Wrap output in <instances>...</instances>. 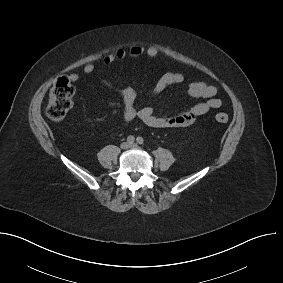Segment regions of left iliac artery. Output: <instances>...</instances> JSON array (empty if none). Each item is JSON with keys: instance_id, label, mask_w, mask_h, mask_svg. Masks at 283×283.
I'll list each match as a JSON object with an SVG mask.
<instances>
[{"instance_id": "obj_1", "label": "left iliac artery", "mask_w": 283, "mask_h": 283, "mask_svg": "<svg viewBox=\"0 0 283 283\" xmlns=\"http://www.w3.org/2000/svg\"><path fill=\"white\" fill-rule=\"evenodd\" d=\"M136 142H137L138 144H143V143H144V140H143L142 137H137V138H136Z\"/></svg>"}]
</instances>
